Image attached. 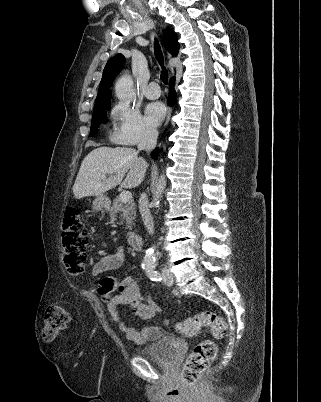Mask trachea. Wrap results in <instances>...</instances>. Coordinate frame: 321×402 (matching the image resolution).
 <instances>
[{
    "mask_svg": "<svg viewBox=\"0 0 321 402\" xmlns=\"http://www.w3.org/2000/svg\"><path fill=\"white\" fill-rule=\"evenodd\" d=\"M154 53H155V56H156V58L158 60V63L160 64V66L162 68L161 76H160L161 80H162V82L164 84H167L168 83V71L164 66V57H163V54H162V51H161L160 44H159V42H158V40L156 38H155V41H154Z\"/></svg>",
    "mask_w": 321,
    "mask_h": 402,
    "instance_id": "1",
    "label": "trachea"
}]
</instances>
